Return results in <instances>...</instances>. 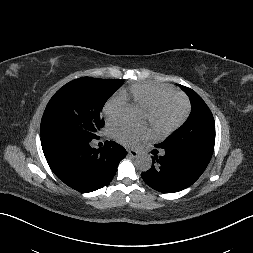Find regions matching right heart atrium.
<instances>
[{"label":"right heart atrium","mask_w":253,"mask_h":253,"mask_svg":"<svg viewBox=\"0 0 253 253\" xmlns=\"http://www.w3.org/2000/svg\"><path fill=\"white\" fill-rule=\"evenodd\" d=\"M126 99L120 94L109 98L103 108L105 120L109 125L119 124L124 115Z\"/></svg>","instance_id":"right-heart-atrium-1"}]
</instances>
